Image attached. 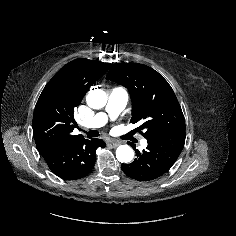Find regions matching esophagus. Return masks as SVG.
<instances>
[{"mask_svg": "<svg viewBox=\"0 0 236 236\" xmlns=\"http://www.w3.org/2000/svg\"><path fill=\"white\" fill-rule=\"evenodd\" d=\"M108 143L114 147L118 146L119 145V142L116 141V140H109Z\"/></svg>", "mask_w": 236, "mask_h": 236, "instance_id": "esophagus-1", "label": "esophagus"}]
</instances>
